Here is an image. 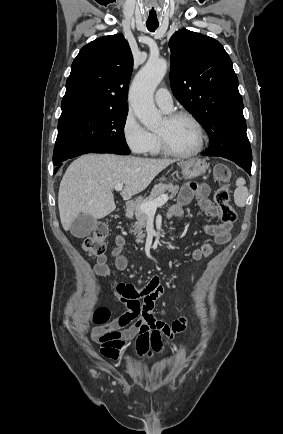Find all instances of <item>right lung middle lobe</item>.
I'll list each match as a JSON object with an SVG mask.
<instances>
[{
  "mask_svg": "<svg viewBox=\"0 0 283 434\" xmlns=\"http://www.w3.org/2000/svg\"><path fill=\"white\" fill-rule=\"evenodd\" d=\"M128 109L75 113L59 118L53 163L89 150L130 154L124 136Z\"/></svg>",
  "mask_w": 283,
  "mask_h": 434,
  "instance_id": "dd1d6c3e",
  "label": "right lung middle lobe"
}]
</instances>
